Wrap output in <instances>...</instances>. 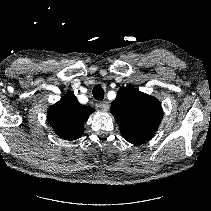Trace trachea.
<instances>
[{"instance_id":"trachea-1","label":"trachea","mask_w":211,"mask_h":211,"mask_svg":"<svg viewBox=\"0 0 211 211\" xmlns=\"http://www.w3.org/2000/svg\"><path fill=\"white\" fill-rule=\"evenodd\" d=\"M93 97L96 100H100V101L104 99V90H103V88L101 86L96 85L93 88Z\"/></svg>"}]
</instances>
